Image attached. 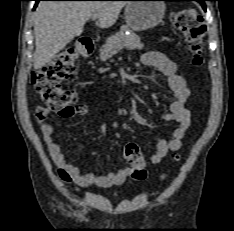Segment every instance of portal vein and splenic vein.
<instances>
[{"label": "portal vein and splenic vein", "mask_w": 234, "mask_h": 231, "mask_svg": "<svg viewBox=\"0 0 234 231\" xmlns=\"http://www.w3.org/2000/svg\"><path fill=\"white\" fill-rule=\"evenodd\" d=\"M97 18H98V15H97V14H93L92 17H91V19H92L93 21H95Z\"/></svg>", "instance_id": "obj_1"}]
</instances>
